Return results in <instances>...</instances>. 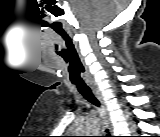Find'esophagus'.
I'll use <instances>...</instances> for the list:
<instances>
[{
  "mask_svg": "<svg viewBox=\"0 0 160 137\" xmlns=\"http://www.w3.org/2000/svg\"><path fill=\"white\" fill-rule=\"evenodd\" d=\"M96 98L99 100V102L102 104V108H103V119L105 124L107 125L109 131L111 134H113V126L110 120V116L107 110V107L103 101L102 95L99 92H94Z\"/></svg>",
  "mask_w": 160,
  "mask_h": 137,
  "instance_id": "34e87169",
  "label": "esophagus"
}]
</instances>
